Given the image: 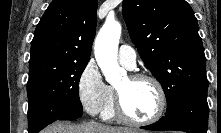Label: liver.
<instances>
[{"mask_svg": "<svg viewBox=\"0 0 221 133\" xmlns=\"http://www.w3.org/2000/svg\"><path fill=\"white\" fill-rule=\"evenodd\" d=\"M42 133H137V131L134 129L111 127L96 122L75 125L69 122L58 121L45 128Z\"/></svg>", "mask_w": 221, "mask_h": 133, "instance_id": "liver-1", "label": "liver"}]
</instances>
